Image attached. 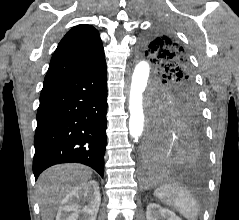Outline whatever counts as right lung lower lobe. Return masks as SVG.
Wrapping results in <instances>:
<instances>
[{
    "label": "right lung lower lobe",
    "mask_w": 239,
    "mask_h": 220,
    "mask_svg": "<svg viewBox=\"0 0 239 220\" xmlns=\"http://www.w3.org/2000/svg\"><path fill=\"white\" fill-rule=\"evenodd\" d=\"M106 62L67 80L45 85L34 137L35 179L46 168L76 162L102 177L106 147Z\"/></svg>",
    "instance_id": "98d812e1"
}]
</instances>
